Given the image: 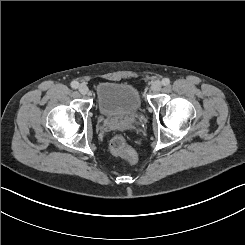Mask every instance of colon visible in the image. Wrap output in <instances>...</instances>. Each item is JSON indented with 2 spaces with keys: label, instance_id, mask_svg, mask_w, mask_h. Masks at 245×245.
I'll list each match as a JSON object with an SVG mask.
<instances>
[{
  "label": "colon",
  "instance_id": "colon-1",
  "mask_svg": "<svg viewBox=\"0 0 245 245\" xmlns=\"http://www.w3.org/2000/svg\"><path fill=\"white\" fill-rule=\"evenodd\" d=\"M110 150L115 155L132 157V149L127 145L126 139L123 135H116L110 142Z\"/></svg>",
  "mask_w": 245,
  "mask_h": 245
}]
</instances>
